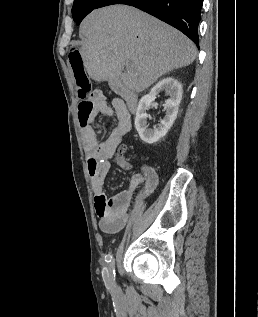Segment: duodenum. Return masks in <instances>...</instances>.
I'll use <instances>...</instances> for the list:
<instances>
[{"label": "duodenum", "mask_w": 258, "mask_h": 317, "mask_svg": "<svg viewBox=\"0 0 258 317\" xmlns=\"http://www.w3.org/2000/svg\"><path fill=\"white\" fill-rule=\"evenodd\" d=\"M131 108L136 109V103H132Z\"/></svg>", "instance_id": "1"}]
</instances>
